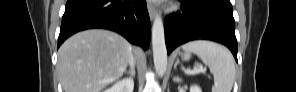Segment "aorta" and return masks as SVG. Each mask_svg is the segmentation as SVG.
Segmentation results:
<instances>
[{
	"label": "aorta",
	"instance_id": "762f6f07",
	"mask_svg": "<svg viewBox=\"0 0 296 92\" xmlns=\"http://www.w3.org/2000/svg\"><path fill=\"white\" fill-rule=\"evenodd\" d=\"M152 48L156 73L163 77L167 69V49L162 18L158 14L152 26Z\"/></svg>",
	"mask_w": 296,
	"mask_h": 92
}]
</instances>
